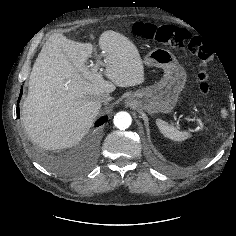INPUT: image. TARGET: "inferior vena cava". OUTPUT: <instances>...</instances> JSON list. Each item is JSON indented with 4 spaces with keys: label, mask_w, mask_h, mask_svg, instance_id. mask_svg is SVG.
<instances>
[{
    "label": "inferior vena cava",
    "mask_w": 236,
    "mask_h": 236,
    "mask_svg": "<svg viewBox=\"0 0 236 236\" xmlns=\"http://www.w3.org/2000/svg\"><path fill=\"white\" fill-rule=\"evenodd\" d=\"M99 100L101 102L107 103L112 100V97L108 93H103L100 95Z\"/></svg>",
    "instance_id": "602c4592"
}]
</instances>
